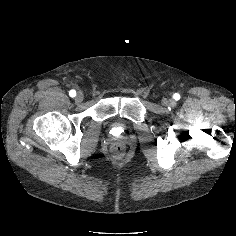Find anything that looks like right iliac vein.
Masks as SVG:
<instances>
[{"label": "right iliac vein", "instance_id": "1", "mask_svg": "<svg viewBox=\"0 0 236 236\" xmlns=\"http://www.w3.org/2000/svg\"><path fill=\"white\" fill-rule=\"evenodd\" d=\"M83 98H84L83 93L82 92H78L76 97H75V101L77 103H80V102H82Z\"/></svg>", "mask_w": 236, "mask_h": 236}]
</instances>
